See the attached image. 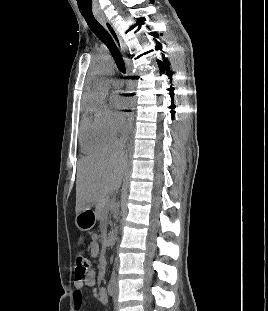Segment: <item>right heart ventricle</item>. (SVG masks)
I'll use <instances>...</instances> for the list:
<instances>
[{"mask_svg": "<svg viewBox=\"0 0 268 311\" xmlns=\"http://www.w3.org/2000/svg\"><path fill=\"white\" fill-rule=\"evenodd\" d=\"M113 134L96 112H88L82 118L79 141L86 153H94L107 148L114 142Z\"/></svg>", "mask_w": 268, "mask_h": 311, "instance_id": "obj_1", "label": "right heart ventricle"}]
</instances>
